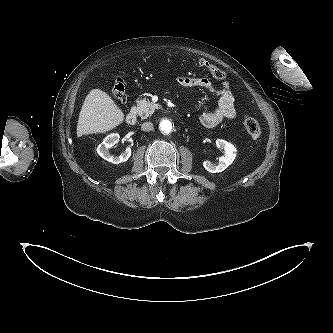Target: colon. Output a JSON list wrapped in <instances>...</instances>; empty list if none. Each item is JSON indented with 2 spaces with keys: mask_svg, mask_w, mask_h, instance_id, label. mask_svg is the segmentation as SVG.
Wrapping results in <instances>:
<instances>
[{
  "mask_svg": "<svg viewBox=\"0 0 333 333\" xmlns=\"http://www.w3.org/2000/svg\"><path fill=\"white\" fill-rule=\"evenodd\" d=\"M204 65L206 66L207 70L212 75V77H214L215 79L217 80L226 79L227 75L223 70L208 63H205ZM112 94L117 101L121 103L125 102L126 88H125V82L122 79L120 78L116 79L113 85ZM243 124L247 133L253 140H258L261 137L262 135L261 127L254 117L246 113L243 118Z\"/></svg>",
  "mask_w": 333,
  "mask_h": 333,
  "instance_id": "colon-1",
  "label": "colon"
}]
</instances>
